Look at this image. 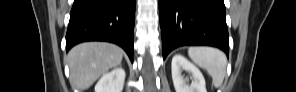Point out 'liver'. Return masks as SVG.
I'll return each instance as SVG.
<instances>
[{
	"instance_id": "6515ba94",
	"label": "liver",
	"mask_w": 296,
	"mask_h": 92,
	"mask_svg": "<svg viewBox=\"0 0 296 92\" xmlns=\"http://www.w3.org/2000/svg\"><path fill=\"white\" fill-rule=\"evenodd\" d=\"M123 50L114 44L86 42L73 47L67 56L70 79L78 90L88 89L109 69L117 67Z\"/></svg>"
}]
</instances>
